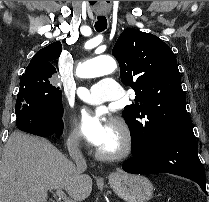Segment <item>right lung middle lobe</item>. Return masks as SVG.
<instances>
[{
  "label": "right lung middle lobe",
  "mask_w": 209,
  "mask_h": 202,
  "mask_svg": "<svg viewBox=\"0 0 209 202\" xmlns=\"http://www.w3.org/2000/svg\"><path fill=\"white\" fill-rule=\"evenodd\" d=\"M51 77V74L44 73L22 75L15 107L16 116L27 110L54 117L63 115L61 93L59 87L50 82Z\"/></svg>",
  "instance_id": "dd1d6c3e"
}]
</instances>
